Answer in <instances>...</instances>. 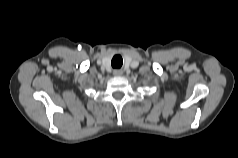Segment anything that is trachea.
Listing matches in <instances>:
<instances>
[{"label":"trachea","instance_id":"1","mask_svg":"<svg viewBox=\"0 0 238 158\" xmlns=\"http://www.w3.org/2000/svg\"><path fill=\"white\" fill-rule=\"evenodd\" d=\"M123 64L122 57L120 55H116L113 57L111 61V65L113 68H120Z\"/></svg>","mask_w":238,"mask_h":158}]
</instances>
